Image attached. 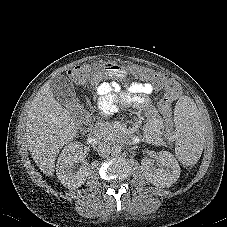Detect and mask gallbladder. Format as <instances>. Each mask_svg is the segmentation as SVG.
Instances as JSON below:
<instances>
[{
	"label": "gallbladder",
	"instance_id": "obj_1",
	"mask_svg": "<svg viewBox=\"0 0 227 227\" xmlns=\"http://www.w3.org/2000/svg\"><path fill=\"white\" fill-rule=\"evenodd\" d=\"M50 91L58 101L73 105L77 101L74 85L63 75H57L50 80Z\"/></svg>",
	"mask_w": 227,
	"mask_h": 227
}]
</instances>
